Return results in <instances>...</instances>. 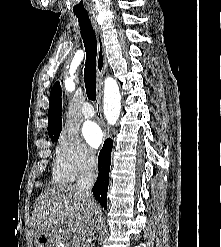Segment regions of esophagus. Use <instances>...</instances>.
<instances>
[{
    "label": "esophagus",
    "instance_id": "esophagus-1",
    "mask_svg": "<svg viewBox=\"0 0 221 247\" xmlns=\"http://www.w3.org/2000/svg\"><path fill=\"white\" fill-rule=\"evenodd\" d=\"M91 23L93 25V28L96 33L97 37V64H96V70H97V91H98V97H97V105L96 109L99 115V119H102L101 115V88H102V77L106 69V57H105V50H104V43H103V37L101 33V29L94 17H91ZM103 126L105 127V133L108 134L109 130L106 128V125L103 123Z\"/></svg>",
    "mask_w": 221,
    "mask_h": 247
}]
</instances>
